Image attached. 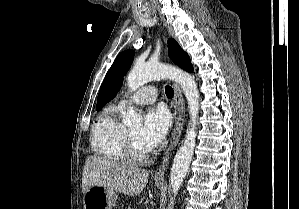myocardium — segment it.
<instances>
[{"instance_id": "myocardium-1", "label": "myocardium", "mask_w": 299, "mask_h": 209, "mask_svg": "<svg viewBox=\"0 0 299 209\" xmlns=\"http://www.w3.org/2000/svg\"><path fill=\"white\" fill-rule=\"evenodd\" d=\"M124 154L126 159L135 165H140L146 163L150 157L151 153L150 151L145 154H139L135 150V147L133 145V142L128 135L127 131H124Z\"/></svg>"}]
</instances>
